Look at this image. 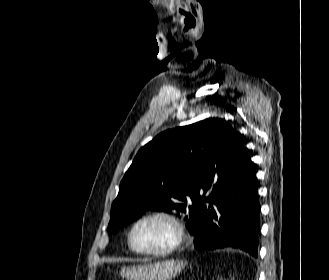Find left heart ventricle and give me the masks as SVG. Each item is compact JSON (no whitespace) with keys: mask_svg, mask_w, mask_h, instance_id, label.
<instances>
[{"mask_svg":"<svg viewBox=\"0 0 329 280\" xmlns=\"http://www.w3.org/2000/svg\"><path fill=\"white\" fill-rule=\"evenodd\" d=\"M171 225L161 219L147 220L139 224L133 233L134 246L142 250H158L167 247L173 240Z\"/></svg>","mask_w":329,"mask_h":280,"instance_id":"left-heart-ventricle-1","label":"left heart ventricle"}]
</instances>
